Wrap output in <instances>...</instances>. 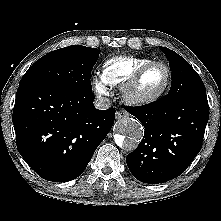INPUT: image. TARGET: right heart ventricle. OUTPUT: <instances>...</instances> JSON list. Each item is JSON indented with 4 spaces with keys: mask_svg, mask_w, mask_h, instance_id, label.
Masks as SVG:
<instances>
[{
    "mask_svg": "<svg viewBox=\"0 0 221 221\" xmlns=\"http://www.w3.org/2000/svg\"><path fill=\"white\" fill-rule=\"evenodd\" d=\"M153 61L146 57L119 56L108 59L102 68V79L111 87L123 86L143 65Z\"/></svg>",
    "mask_w": 221,
    "mask_h": 221,
    "instance_id": "right-heart-ventricle-1",
    "label": "right heart ventricle"
}]
</instances>
